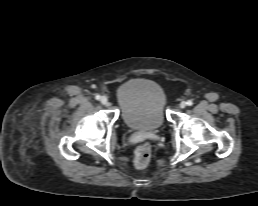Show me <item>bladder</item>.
I'll return each mask as SVG.
<instances>
[{
  "label": "bladder",
  "mask_w": 258,
  "mask_h": 206,
  "mask_svg": "<svg viewBox=\"0 0 258 206\" xmlns=\"http://www.w3.org/2000/svg\"><path fill=\"white\" fill-rule=\"evenodd\" d=\"M124 124L133 130L154 131L165 122L166 97L162 88L148 79H134L116 90Z\"/></svg>",
  "instance_id": "bladder-1"
}]
</instances>
